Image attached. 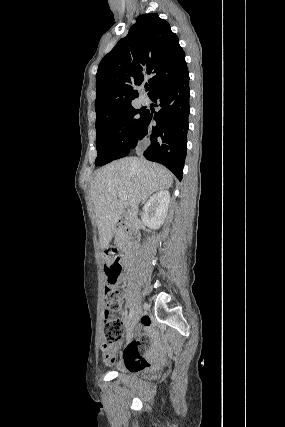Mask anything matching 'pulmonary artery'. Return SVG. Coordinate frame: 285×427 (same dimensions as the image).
<instances>
[{"label": "pulmonary artery", "instance_id": "1", "mask_svg": "<svg viewBox=\"0 0 285 427\" xmlns=\"http://www.w3.org/2000/svg\"><path fill=\"white\" fill-rule=\"evenodd\" d=\"M140 100H141V102H142L143 104H146V103L148 102V97H147L146 95H142V96L140 97Z\"/></svg>", "mask_w": 285, "mask_h": 427}]
</instances>
